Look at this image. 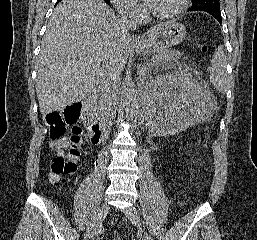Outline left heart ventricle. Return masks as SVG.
I'll use <instances>...</instances> for the list:
<instances>
[{"label":"left heart ventricle","mask_w":257,"mask_h":240,"mask_svg":"<svg viewBox=\"0 0 257 240\" xmlns=\"http://www.w3.org/2000/svg\"><path fill=\"white\" fill-rule=\"evenodd\" d=\"M179 0H154L151 10L156 13H167L178 5Z\"/></svg>","instance_id":"1"}]
</instances>
